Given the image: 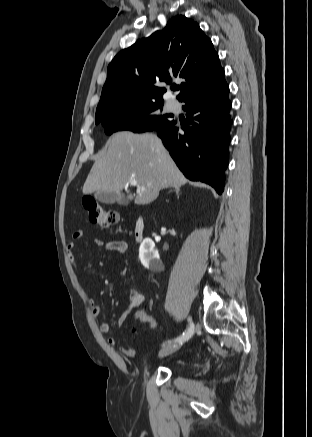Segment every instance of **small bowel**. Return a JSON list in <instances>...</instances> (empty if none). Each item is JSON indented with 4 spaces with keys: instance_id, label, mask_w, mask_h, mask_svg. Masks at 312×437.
Here are the masks:
<instances>
[{
    "instance_id": "small-bowel-1",
    "label": "small bowel",
    "mask_w": 312,
    "mask_h": 437,
    "mask_svg": "<svg viewBox=\"0 0 312 437\" xmlns=\"http://www.w3.org/2000/svg\"><path fill=\"white\" fill-rule=\"evenodd\" d=\"M84 236V232L79 230L74 232L73 234V240L67 243L66 249H67V255L68 258L72 261L74 265H76V254H75V240H78ZM95 244L99 247H104L105 250L110 252H116V253H125L128 248V244L124 240H114L110 242H105L102 239H96ZM145 301V295L138 291L137 289H131L129 292V299L125 306L124 311L120 315L117 325L121 326L129 317V315L132 313V311L142 305ZM90 305H91V311L94 316H98L101 312L100 305L94 300L90 299ZM99 330L102 334H107L110 331V324L108 322H103L99 326ZM107 343L110 346H116L117 341L114 337L109 336L107 337ZM119 350L125 354L126 356L133 357L135 355V351L132 348L120 346Z\"/></svg>"
}]
</instances>
